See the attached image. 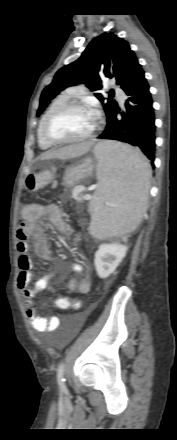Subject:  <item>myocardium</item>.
Returning a JSON list of instances; mask_svg holds the SVG:
<instances>
[{
  "label": "myocardium",
  "instance_id": "f54148a6",
  "mask_svg": "<svg viewBox=\"0 0 177 440\" xmlns=\"http://www.w3.org/2000/svg\"><path fill=\"white\" fill-rule=\"evenodd\" d=\"M70 110H85L88 111L90 113V109L86 104L80 103V102H73L70 101L68 103H65L59 107H57L55 110H53L48 117L46 118V120L44 121L43 127H42V135L43 137L51 144L53 145H67V144H77V143H82L85 141H88L89 139H91L95 133V131L98 128L97 123L94 121V126L92 128V130L85 135L82 138L79 139H60L57 138L55 136H53L50 131H49V127L52 124V122L61 114L70 111Z\"/></svg>",
  "mask_w": 177,
  "mask_h": 440
}]
</instances>
